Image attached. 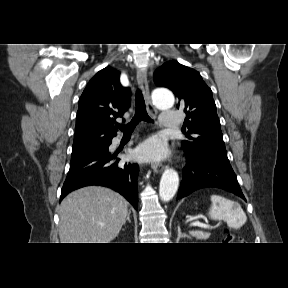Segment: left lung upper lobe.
Returning a JSON list of instances; mask_svg holds the SVG:
<instances>
[{
  "label": "left lung upper lobe",
  "mask_w": 288,
  "mask_h": 288,
  "mask_svg": "<svg viewBox=\"0 0 288 288\" xmlns=\"http://www.w3.org/2000/svg\"><path fill=\"white\" fill-rule=\"evenodd\" d=\"M154 81L172 90L179 100L177 108L182 107L187 114L184 151L211 155L229 163L212 91L201 75L177 61H168L154 72Z\"/></svg>",
  "instance_id": "obj_1"
}]
</instances>
